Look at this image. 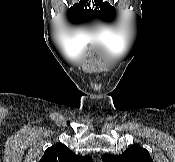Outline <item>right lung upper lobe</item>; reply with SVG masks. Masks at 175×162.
Returning <instances> with one entry per match:
<instances>
[{
  "label": "right lung upper lobe",
  "instance_id": "1",
  "mask_svg": "<svg viewBox=\"0 0 175 162\" xmlns=\"http://www.w3.org/2000/svg\"><path fill=\"white\" fill-rule=\"evenodd\" d=\"M39 162H93L90 156L76 155L62 144L47 148Z\"/></svg>",
  "mask_w": 175,
  "mask_h": 162
}]
</instances>
